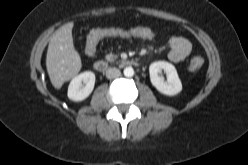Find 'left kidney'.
<instances>
[{"mask_svg":"<svg viewBox=\"0 0 248 165\" xmlns=\"http://www.w3.org/2000/svg\"><path fill=\"white\" fill-rule=\"evenodd\" d=\"M164 70L167 80L159 75ZM150 81L152 85L162 94L174 96L181 92L182 84L177 74V70L169 62L157 61L153 62L149 67Z\"/></svg>","mask_w":248,"mask_h":165,"instance_id":"obj_1","label":"left kidney"}]
</instances>
